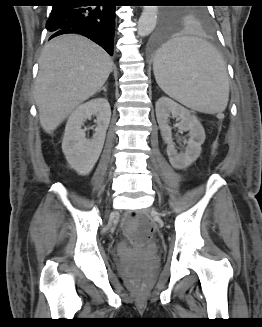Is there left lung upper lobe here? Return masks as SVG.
Returning a JSON list of instances; mask_svg holds the SVG:
<instances>
[{"mask_svg": "<svg viewBox=\"0 0 262 327\" xmlns=\"http://www.w3.org/2000/svg\"><path fill=\"white\" fill-rule=\"evenodd\" d=\"M180 3L200 4L203 0H177ZM195 24L209 27L211 15L205 6H190L184 9H167L163 12V27L173 28L180 24Z\"/></svg>", "mask_w": 262, "mask_h": 327, "instance_id": "obj_1", "label": "left lung upper lobe"}]
</instances>
